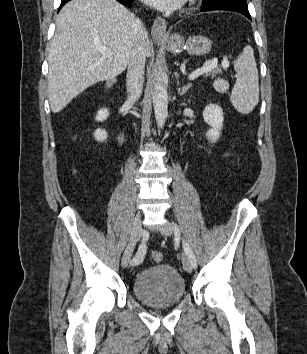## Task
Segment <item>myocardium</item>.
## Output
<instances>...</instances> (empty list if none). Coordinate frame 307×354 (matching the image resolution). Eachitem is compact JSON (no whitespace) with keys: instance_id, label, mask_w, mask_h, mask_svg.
<instances>
[{"instance_id":"f54148a6","label":"myocardium","mask_w":307,"mask_h":354,"mask_svg":"<svg viewBox=\"0 0 307 354\" xmlns=\"http://www.w3.org/2000/svg\"><path fill=\"white\" fill-rule=\"evenodd\" d=\"M196 0H186V5H192Z\"/></svg>"}]
</instances>
